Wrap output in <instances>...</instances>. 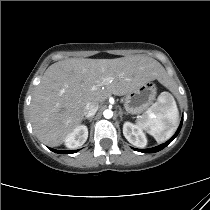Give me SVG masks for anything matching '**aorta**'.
<instances>
[{
    "instance_id": "obj_1",
    "label": "aorta",
    "mask_w": 210,
    "mask_h": 210,
    "mask_svg": "<svg viewBox=\"0 0 210 210\" xmlns=\"http://www.w3.org/2000/svg\"><path fill=\"white\" fill-rule=\"evenodd\" d=\"M103 115L105 118L109 119V118H112L113 116V111L110 110V109H106L104 112H103Z\"/></svg>"
}]
</instances>
